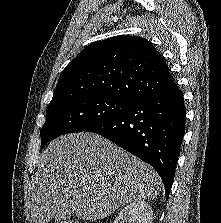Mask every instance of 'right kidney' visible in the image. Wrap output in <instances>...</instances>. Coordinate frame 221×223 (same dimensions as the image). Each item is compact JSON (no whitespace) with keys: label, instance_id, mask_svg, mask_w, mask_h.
I'll return each mask as SVG.
<instances>
[{"label":"right kidney","instance_id":"1","mask_svg":"<svg viewBox=\"0 0 221 223\" xmlns=\"http://www.w3.org/2000/svg\"><path fill=\"white\" fill-rule=\"evenodd\" d=\"M153 211L145 201H133L117 215L114 223H152Z\"/></svg>","mask_w":221,"mask_h":223}]
</instances>
